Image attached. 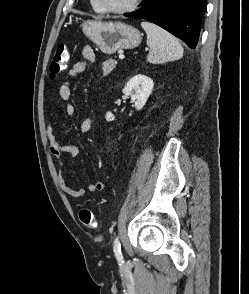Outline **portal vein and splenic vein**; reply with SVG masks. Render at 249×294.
Listing matches in <instances>:
<instances>
[{"mask_svg": "<svg viewBox=\"0 0 249 294\" xmlns=\"http://www.w3.org/2000/svg\"><path fill=\"white\" fill-rule=\"evenodd\" d=\"M119 59H124V55H119Z\"/></svg>", "mask_w": 249, "mask_h": 294, "instance_id": "portal-vein-and-splenic-vein-1", "label": "portal vein and splenic vein"}]
</instances>
